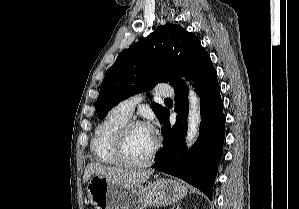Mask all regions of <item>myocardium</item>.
Returning <instances> with one entry per match:
<instances>
[{
  "instance_id": "1",
  "label": "myocardium",
  "mask_w": 299,
  "mask_h": 209,
  "mask_svg": "<svg viewBox=\"0 0 299 209\" xmlns=\"http://www.w3.org/2000/svg\"><path fill=\"white\" fill-rule=\"evenodd\" d=\"M135 127H145V125L141 121L128 120L119 128L114 139V156L119 165L126 168L138 169V168H144L152 163V161L154 160V158L156 157L159 151L160 142L156 138L154 139V146L150 154L143 161L141 162L129 161L125 156V144H126L128 133L130 132V130H132Z\"/></svg>"
}]
</instances>
